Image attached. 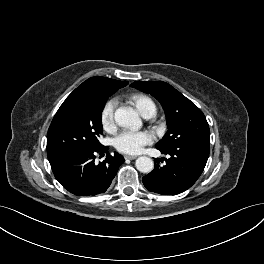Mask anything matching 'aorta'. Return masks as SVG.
Listing matches in <instances>:
<instances>
[{
  "mask_svg": "<svg viewBox=\"0 0 264 264\" xmlns=\"http://www.w3.org/2000/svg\"><path fill=\"white\" fill-rule=\"evenodd\" d=\"M115 121L118 125L131 130H139L142 121L138 113L131 107H120L115 111ZM136 168L142 173H150L154 168V162L147 156L138 157L135 162Z\"/></svg>",
  "mask_w": 264,
  "mask_h": 264,
  "instance_id": "1",
  "label": "aorta"
}]
</instances>
